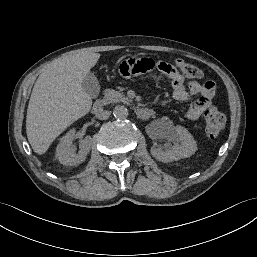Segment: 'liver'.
Segmentation results:
<instances>
[{"mask_svg": "<svg viewBox=\"0 0 257 257\" xmlns=\"http://www.w3.org/2000/svg\"><path fill=\"white\" fill-rule=\"evenodd\" d=\"M85 52L52 61L33 87L26 116V133L35 153L44 154L52 142L91 109L92 98L82 82L99 58Z\"/></svg>", "mask_w": 257, "mask_h": 257, "instance_id": "6515ba94", "label": "liver"}]
</instances>
